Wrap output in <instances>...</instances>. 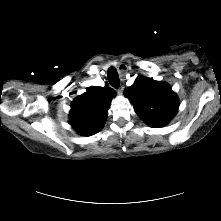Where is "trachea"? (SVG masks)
Wrapping results in <instances>:
<instances>
[{
    "mask_svg": "<svg viewBox=\"0 0 221 221\" xmlns=\"http://www.w3.org/2000/svg\"><path fill=\"white\" fill-rule=\"evenodd\" d=\"M108 81L114 88H118L120 85L119 76L114 67L108 69Z\"/></svg>",
    "mask_w": 221,
    "mask_h": 221,
    "instance_id": "3493384b",
    "label": "trachea"
}]
</instances>
